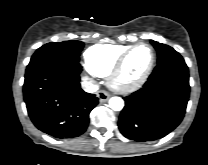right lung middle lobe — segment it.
Masks as SVG:
<instances>
[{"label": "right lung middle lobe", "mask_w": 208, "mask_h": 165, "mask_svg": "<svg viewBox=\"0 0 208 165\" xmlns=\"http://www.w3.org/2000/svg\"><path fill=\"white\" fill-rule=\"evenodd\" d=\"M83 46V42L76 40L48 43L36 50L35 54L31 57L30 63L53 55H65L66 57L79 62V55Z\"/></svg>", "instance_id": "right-lung-middle-lobe-1"}]
</instances>
